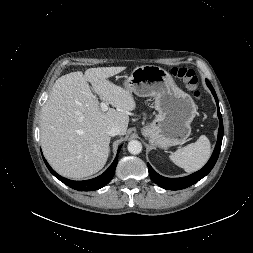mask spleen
<instances>
[{"label":"spleen","instance_id":"1","mask_svg":"<svg viewBox=\"0 0 253 253\" xmlns=\"http://www.w3.org/2000/svg\"><path fill=\"white\" fill-rule=\"evenodd\" d=\"M211 154V145L205 135H201L195 143L178 149L170 155V159L186 172L192 173L201 169Z\"/></svg>","mask_w":253,"mask_h":253}]
</instances>
